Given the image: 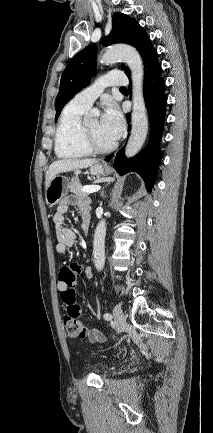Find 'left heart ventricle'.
I'll return each instance as SVG.
<instances>
[{"mask_svg": "<svg viewBox=\"0 0 213 433\" xmlns=\"http://www.w3.org/2000/svg\"><path fill=\"white\" fill-rule=\"evenodd\" d=\"M87 129L92 136L93 140L99 146H109L114 141L104 132L97 118H92L86 122Z\"/></svg>", "mask_w": 213, "mask_h": 433, "instance_id": "1", "label": "left heart ventricle"}]
</instances>
